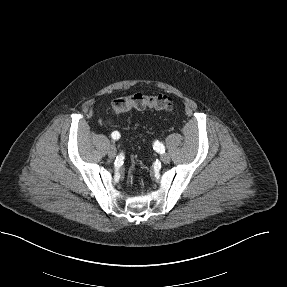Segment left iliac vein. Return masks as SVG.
<instances>
[{
    "mask_svg": "<svg viewBox=\"0 0 287 287\" xmlns=\"http://www.w3.org/2000/svg\"><path fill=\"white\" fill-rule=\"evenodd\" d=\"M170 160H171V158H170L169 154L165 153V154L161 155V161L163 163H169Z\"/></svg>",
    "mask_w": 287,
    "mask_h": 287,
    "instance_id": "4c4485c4",
    "label": "left iliac vein"
}]
</instances>
